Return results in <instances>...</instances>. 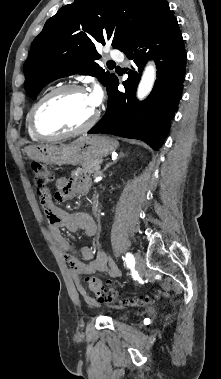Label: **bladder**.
<instances>
[{"label":"bladder","instance_id":"bladder-1","mask_svg":"<svg viewBox=\"0 0 221 379\" xmlns=\"http://www.w3.org/2000/svg\"><path fill=\"white\" fill-rule=\"evenodd\" d=\"M120 318L121 319H126V315H121Z\"/></svg>","mask_w":221,"mask_h":379}]
</instances>
